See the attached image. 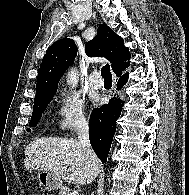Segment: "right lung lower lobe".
Returning <instances> with one entry per match:
<instances>
[{
    "instance_id": "1",
    "label": "right lung lower lobe",
    "mask_w": 189,
    "mask_h": 195,
    "mask_svg": "<svg viewBox=\"0 0 189 195\" xmlns=\"http://www.w3.org/2000/svg\"><path fill=\"white\" fill-rule=\"evenodd\" d=\"M117 90L128 80V73L118 76ZM124 101L119 97L112 98L107 105L92 111L89 120V138L94 152L102 162L107 161L113 136L116 131V121L119 118Z\"/></svg>"
}]
</instances>
